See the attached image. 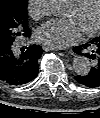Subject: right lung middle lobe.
<instances>
[{"instance_id": "dd1d6c3e", "label": "right lung middle lobe", "mask_w": 100, "mask_h": 118, "mask_svg": "<svg viewBox=\"0 0 100 118\" xmlns=\"http://www.w3.org/2000/svg\"><path fill=\"white\" fill-rule=\"evenodd\" d=\"M29 35L27 0H0V43Z\"/></svg>"}]
</instances>
